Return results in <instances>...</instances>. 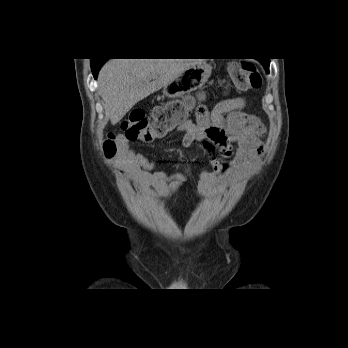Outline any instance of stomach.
<instances>
[{
    "label": "stomach",
    "mask_w": 348,
    "mask_h": 348,
    "mask_svg": "<svg viewBox=\"0 0 348 348\" xmlns=\"http://www.w3.org/2000/svg\"><path fill=\"white\" fill-rule=\"evenodd\" d=\"M212 67L206 62H199L180 73L163 88V93L169 98H183L192 91L201 89L211 75ZM199 100L203 99L199 95ZM195 102L190 99L188 107L193 108Z\"/></svg>",
    "instance_id": "obj_1"
}]
</instances>
